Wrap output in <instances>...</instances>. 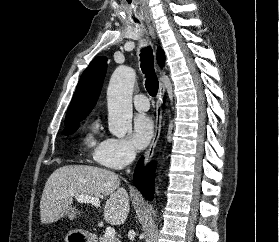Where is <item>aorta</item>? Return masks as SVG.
I'll return each mask as SVG.
<instances>
[{"label":"aorta","instance_id":"obj_1","mask_svg":"<svg viewBox=\"0 0 279 242\" xmlns=\"http://www.w3.org/2000/svg\"><path fill=\"white\" fill-rule=\"evenodd\" d=\"M136 79L134 69L119 66L111 76L107 90L108 128L123 138L132 129V93Z\"/></svg>","mask_w":279,"mask_h":242}]
</instances>
